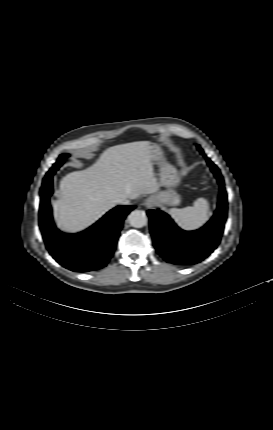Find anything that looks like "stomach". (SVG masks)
I'll use <instances>...</instances> for the list:
<instances>
[{"mask_svg": "<svg viewBox=\"0 0 273 430\" xmlns=\"http://www.w3.org/2000/svg\"><path fill=\"white\" fill-rule=\"evenodd\" d=\"M151 160L159 164V182L166 190L153 195L152 198L158 205L177 206L180 203V196L174 190L180 183V178L176 168L167 162L163 157L161 148L156 144H151Z\"/></svg>", "mask_w": 273, "mask_h": 430, "instance_id": "0dacf381", "label": "stomach"}]
</instances>
